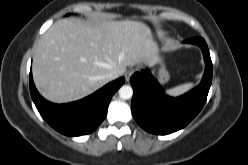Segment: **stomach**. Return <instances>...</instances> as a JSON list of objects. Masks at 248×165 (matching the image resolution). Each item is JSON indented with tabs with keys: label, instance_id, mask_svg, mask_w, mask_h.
I'll list each match as a JSON object with an SVG mask.
<instances>
[{
	"label": "stomach",
	"instance_id": "stomach-1",
	"mask_svg": "<svg viewBox=\"0 0 248 165\" xmlns=\"http://www.w3.org/2000/svg\"><path fill=\"white\" fill-rule=\"evenodd\" d=\"M158 63L160 64V67L157 73V78L161 84H164L169 81L170 76L162 61L159 60Z\"/></svg>",
	"mask_w": 248,
	"mask_h": 165
}]
</instances>
